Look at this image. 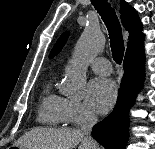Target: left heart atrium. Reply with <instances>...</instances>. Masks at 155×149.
<instances>
[{
	"instance_id": "39dd6f15",
	"label": "left heart atrium",
	"mask_w": 155,
	"mask_h": 149,
	"mask_svg": "<svg viewBox=\"0 0 155 149\" xmlns=\"http://www.w3.org/2000/svg\"><path fill=\"white\" fill-rule=\"evenodd\" d=\"M116 97V85L110 79L95 78L88 85L87 105L99 114L107 113L113 107Z\"/></svg>"
}]
</instances>
